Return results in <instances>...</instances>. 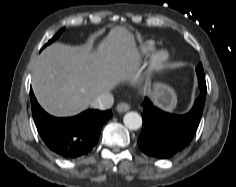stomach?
<instances>
[{
    "instance_id": "obj_1",
    "label": "stomach",
    "mask_w": 236,
    "mask_h": 187,
    "mask_svg": "<svg viewBox=\"0 0 236 187\" xmlns=\"http://www.w3.org/2000/svg\"><path fill=\"white\" fill-rule=\"evenodd\" d=\"M151 97L155 105L167 111L174 110L177 105L176 92L165 84H155Z\"/></svg>"
}]
</instances>
